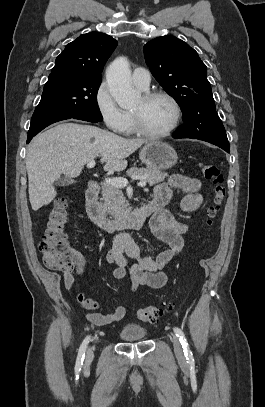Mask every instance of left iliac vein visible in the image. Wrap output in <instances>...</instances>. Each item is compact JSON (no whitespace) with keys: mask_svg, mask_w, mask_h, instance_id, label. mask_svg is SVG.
<instances>
[{"mask_svg":"<svg viewBox=\"0 0 265 407\" xmlns=\"http://www.w3.org/2000/svg\"><path fill=\"white\" fill-rule=\"evenodd\" d=\"M170 339L173 343V347H174V351H175L176 355L180 358H184L183 349H182L179 337H177L174 334H170Z\"/></svg>","mask_w":265,"mask_h":407,"instance_id":"left-iliac-vein-1","label":"left iliac vein"}]
</instances>
